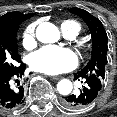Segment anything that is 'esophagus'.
Instances as JSON below:
<instances>
[{"label": "esophagus", "mask_w": 117, "mask_h": 117, "mask_svg": "<svg viewBox=\"0 0 117 117\" xmlns=\"http://www.w3.org/2000/svg\"><path fill=\"white\" fill-rule=\"evenodd\" d=\"M50 78L52 80H59V79H61V76H51Z\"/></svg>", "instance_id": "34e87169"}]
</instances>
